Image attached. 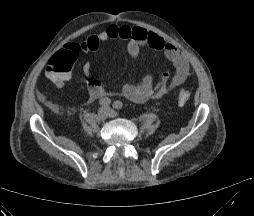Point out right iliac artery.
Instances as JSON below:
<instances>
[{
    "mask_svg": "<svg viewBox=\"0 0 254 216\" xmlns=\"http://www.w3.org/2000/svg\"><path fill=\"white\" fill-rule=\"evenodd\" d=\"M110 103H111V100L107 97L99 100V104L102 106H109Z\"/></svg>",
    "mask_w": 254,
    "mask_h": 216,
    "instance_id": "obj_1",
    "label": "right iliac artery"
}]
</instances>
